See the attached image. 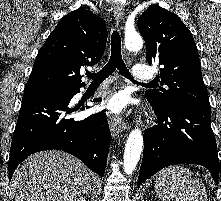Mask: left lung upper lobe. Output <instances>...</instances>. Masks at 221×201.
Returning a JSON list of instances; mask_svg holds the SVG:
<instances>
[{
	"instance_id": "1",
	"label": "left lung upper lobe",
	"mask_w": 221,
	"mask_h": 201,
	"mask_svg": "<svg viewBox=\"0 0 221 201\" xmlns=\"http://www.w3.org/2000/svg\"><path fill=\"white\" fill-rule=\"evenodd\" d=\"M138 28L146 43L149 64L163 66L158 78L166 86L146 91V98L161 108L210 105L195 41L180 18L153 7L139 17Z\"/></svg>"
}]
</instances>
